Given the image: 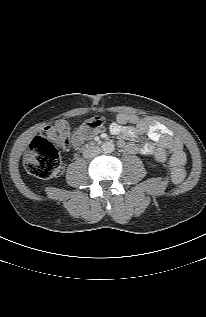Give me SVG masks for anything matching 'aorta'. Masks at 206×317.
I'll use <instances>...</instances> for the list:
<instances>
[{
  "mask_svg": "<svg viewBox=\"0 0 206 317\" xmlns=\"http://www.w3.org/2000/svg\"><path fill=\"white\" fill-rule=\"evenodd\" d=\"M102 150L105 153H112L115 150V146L114 143L111 141H107L105 143L102 144Z\"/></svg>",
  "mask_w": 206,
  "mask_h": 317,
  "instance_id": "obj_1",
  "label": "aorta"
}]
</instances>
